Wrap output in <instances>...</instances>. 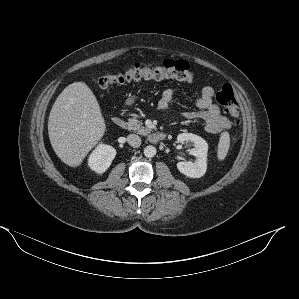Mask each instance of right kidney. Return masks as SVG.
I'll list each match as a JSON object with an SVG mask.
<instances>
[{
	"label": "right kidney",
	"mask_w": 299,
	"mask_h": 299,
	"mask_svg": "<svg viewBox=\"0 0 299 299\" xmlns=\"http://www.w3.org/2000/svg\"><path fill=\"white\" fill-rule=\"evenodd\" d=\"M115 156L116 150L112 146L100 144L89 156L88 165L100 174L110 167Z\"/></svg>",
	"instance_id": "obj_1"
}]
</instances>
